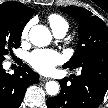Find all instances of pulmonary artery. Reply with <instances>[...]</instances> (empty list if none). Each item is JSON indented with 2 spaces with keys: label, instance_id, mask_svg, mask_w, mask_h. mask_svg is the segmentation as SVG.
Instances as JSON below:
<instances>
[{
  "label": "pulmonary artery",
  "instance_id": "pulmonary-artery-1",
  "mask_svg": "<svg viewBox=\"0 0 108 108\" xmlns=\"http://www.w3.org/2000/svg\"><path fill=\"white\" fill-rule=\"evenodd\" d=\"M67 30H68V28L62 27V28H58V29H55L52 31L56 38L61 39L66 35Z\"/></svg>",
  "mask_w": 108,
  "mask_h": 108
}]
</instances>
